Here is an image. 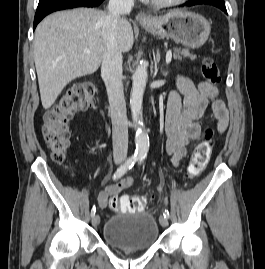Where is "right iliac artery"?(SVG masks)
<instances>
[{
	"label": "right iliac artery",
	"mask_w": 265,
	"mask_h": 269,
	"mask_svg": "<svg viewBox=\"0 0 265 269\" xmlns=\"http://www.w3.org/2000/svg\"><path fill=\"white\" fill-rule=\"evenodd\" d=\"M137 160H138L137 156H131L129 159H127V161L124 164H122L120 167L117 168V170L113 175V180L121 178L129 169H131L134 166ZM95 213L96 208L95 206H93L91 210V217L95 216Z\"/></svg>",
	"instance_id": "right-iliac-artery-1"
}]
</instances>
